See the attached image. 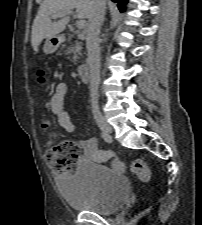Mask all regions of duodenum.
<instances>
[{
	"label": "duodenum",
	"mask_w": 202,
	"mask_h": 225,
	"mask_svg": "<svg viewBox=\"0 0 202 225\" xmlns=\"http://www.w3.org/2000/svg\"><path fill=\"white\" fill-rule=\"evenodd\" d=\"M79 73L85 82L90 79V67L88 64H81L79 66Z\"/></svg>",
	"instance_id": "duodenum-1"
}]
</instances>
